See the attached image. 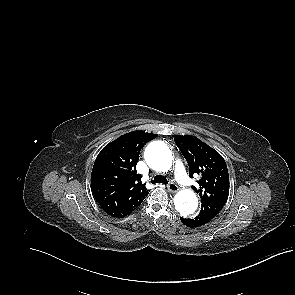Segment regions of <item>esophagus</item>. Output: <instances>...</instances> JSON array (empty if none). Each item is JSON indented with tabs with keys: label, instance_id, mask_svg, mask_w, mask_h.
Instances as JSON below:
<instances>
[{
	"label": "esophagus",
	"instance_id": "1",
	"mask_svg": "<svg viewBox=\"0 0 295 295\" xmlns=\"http://www.w3.org/2000/svg\"><path fill=\"white\" fill-rule=\"evenodd\" d=\"M167 189H168V191L173 192V193L179 190L178 186L175 183H169L167 185Z\"/></svg>",
	"mask_w": 295,
	"mask_h": 295
}]
</instances>
